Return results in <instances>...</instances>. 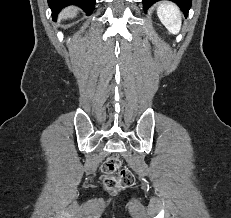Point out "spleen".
I'll use <instances>...</instances> for the list:
<instances>
[{
  "label": "spleen",
  "mask_w": 231,
  "mask_h": 218,
  "mask_svg": "<svg viewBox=\"0 0 231 218\" xmlns=\"http://www.w3.org/2000/svg\"><path fill=\"white\" fill-rule=\"evenodd\" d=\"M157 15L169 32L177 34L181 29V13L171 2H163L157 8Z\"/></svg>",
  "instance_id": "1"
}]
</instances>
